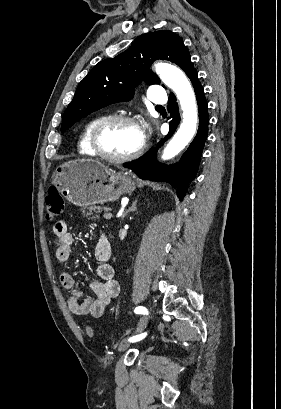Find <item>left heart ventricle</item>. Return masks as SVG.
I'll return each instance as SVG.
<instances>
[{
	"mask_svg": "<svg viewBox=\"0 0 281 409\" xmlns=\"http://www.w3.org/2000/svg\"><path fill=\"white\" fill-rule=\"evenodd\" d=\"M141 140V133L134 126L126 123H114L104 130L101 144L107 154L123 156L135 151Z\"/></svg>",
	"mask_w": 281,
	"mask_h": 409,
	"instance_id": "obj_1",
	"label": "left heart ventricle"
}]
</instances>
